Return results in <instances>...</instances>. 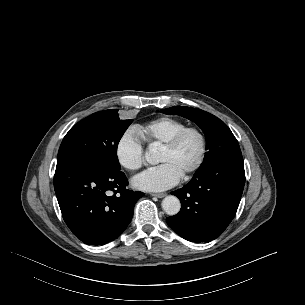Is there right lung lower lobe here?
Instances as JSON below:
<instances>
[{
	"mask_svg": "<svg viewBox=\"0 0 305 305\" xmlns=\"http://www.w3.org/2000/svg\"><path fill=\"white\" fill-rule=\"evenodd\" d=\"M127 185L122 171L93 165L58 167L54 175L64 221L88 245L114 240L130 223L134 205L144 194L127 190Z\"/></svg>",
	"mask_w": 305,
	"mask_h": 305,
	"instance_id": "obj_1",
	"label": "right lung lower lobe"
}]
</instances>
